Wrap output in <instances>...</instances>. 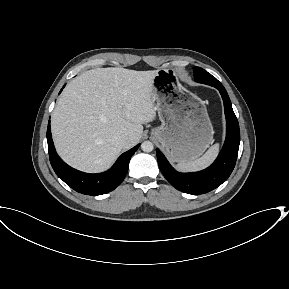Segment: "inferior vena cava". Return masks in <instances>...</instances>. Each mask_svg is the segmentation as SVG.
I'll return each instance as SVG.
<instances>
[{
    "label": "inferior vena cava",
    "mask_w": 289,
    "mask_h": 289,
    "mask_svg": "<svg viewBox=\"0 0 289 289\" xmlns=\"http://www.w3.org/2000/svg\"><path fill=\"white\" fill-rule=\"evenodd\" d=\"M127 142V137L126 136H121L118 138V143L120 145H124Z\"/></svg>",
    "instance_id": "1"
}]
</instances>
